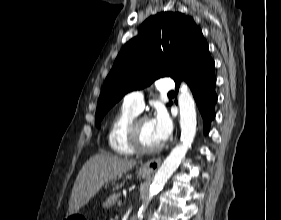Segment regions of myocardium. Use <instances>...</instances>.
Listing matches in <instances>:
<instances>
[{"label": "myocardium", "instance_id": "myocardium-1", "mask_svg": "<svg viewBox=\"0 0 281 220\" xmlns=\"http://www.w3.org/2000/svg\"><path fill=\"white\" fill-rule=\"evenodd\" d=\"M149 119L146 116H137L130 123L127 131V139L130 146L138 153L150 154L159 151L162 148V144L154 147H146L142 144L139 134V126L143 120Z\"/></svg>", "mask_w": 281, "mask_h": 220}]
</instances>
